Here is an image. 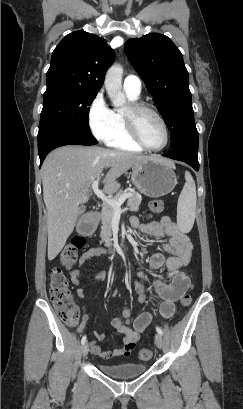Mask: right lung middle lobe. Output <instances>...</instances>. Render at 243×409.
<instances>
[{
	"label": "right lung middle lobe",
	"instance_id": "obj_1",
	"mask_svg": "<svg viewBox=\"0 0 243 409\" xmlns=\"http://www.w3.org/2000/svg\"><path fill=\"white\" fill-rule=\"evenodd\" d=\"M98 92L64 82H47L39 133L53 126H63L89 132V106Z\"/></svg>",
	"mask_w": 243,
	"mask_h": 409
}]
</instances>
